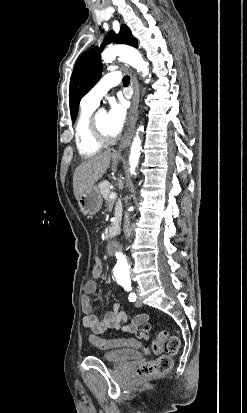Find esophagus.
<instances>
[{
    "instance_id": "obj_1",
    "label": "esophagus",
    "mask_w": 247,
    "mask_h": 413,
    "mask_svg": "<svg viewBox=\"0 0 247 413\" xmlns=\"http://www.w3.org/2000/svg\"><path fill=\"white\" fill-rule=\"evenodd\" d=\"M131 82L132 86L134 89V93L131 99V108H130V113H129V122L127 125V129L125 134L123 135V138L121 140V143L119 144V150H123L126 148L133 137L135 127H136V122L138 119V106H139V97H140V87L138 83L137 76L135 73H132L131 76Z\"/></svg>"
}]
</instances>
